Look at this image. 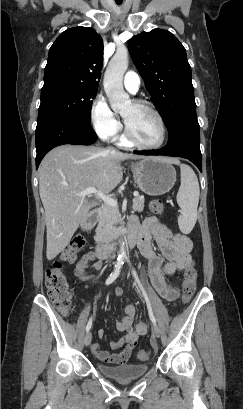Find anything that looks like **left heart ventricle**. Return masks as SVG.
I'll return each mask as SVG.
<instances>
[{"instance_id": "b2bd125f", "label": "left heart ventricle", "mask_w": 243, "mask_h": 409, "mask_svg": "<svg viewBox=\"0 0 243 409\" xmlns=\"http://www.w3.org/2000/svg\"><path fill=\"white\" fill-rule=\"evenodd\" d=\"M135 137L143 142L154 144L161 138V129L153 114L144 107L132 102L120 111Z\"/></svg>"}]
</instances>
